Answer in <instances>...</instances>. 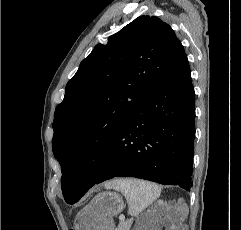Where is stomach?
<instances>
[{"mask_svg":"<svg viewBox=\"0 0 241 230\" xmlns=\"http://www.w3.org/2000/svg\"><path fill=\"white\" fill-rule=\"evenodd\" d=\"M124 201L116 192H103L79 211L75 230H114L113 217L124 210Z\"/></svg>","mask_w":241,"mask_h":230,"instance_id":"stomach-1","label":"stomach"}]
</instances>
